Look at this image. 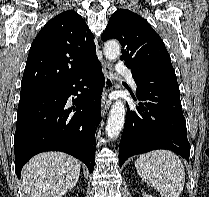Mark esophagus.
I'll return each instance as SVG.
<instances>
[{"label":"esophagus","mask_w":209,"mask_h":197,"mask_svg":"<svg viewBox=\"0 0 209 197\" xmlns=\"http://www.w3.org/2000/svg\"><path fill=\"white\" fill-rule=\"evenodd\" d=\"M102 71L104 74V87L101 99V115L104 116L110 108L111 102L108 98L110 91L114 89L113 68L112 65L104 61L102 63Z\"/></svg>","instance_id":"esophagus-1"}]
</instances>
